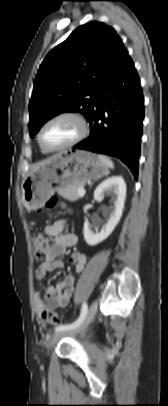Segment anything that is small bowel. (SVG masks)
Here are the masks:
<instances>
[{
    "instance_id": "small-bowel-1",
    "label": "small bowel",
    "mask_w": 168,
    "mask_h": 406,
    "mask_svg": "<svg viewBox=\"0 0 168 406\" xmlns=\"http://www.w3.org/2000/svg\"><path fill=\"white\" fill-rule=\"evenodd\" d=\"M66 219H60L54 223L48 224L45 227L47 235L53 238V249L49 258L43 261L35 270V278L42 280L47 273L62 268V263L56 258L64 255L69 247L74 246L77 241V235L73 233H64ZM71 262L74 264L75 271L81 273L87 263L85 254L74 252L71 254ZM76 279L73 275H66L58 284L50 285L45 289V294L42 296L40 291L35 293V310L39 316V320L43 321L42 313L46 309L64 308L66 307L74 293Z\"/></svg>"
}]
</instances>
